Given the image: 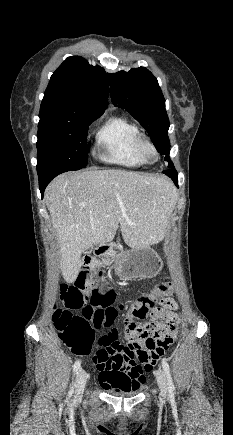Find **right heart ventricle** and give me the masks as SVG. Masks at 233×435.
Listing matches in <instances>:
<instances>
[{
    "label": "right heart ventricle",
    "mask_w": 233,
    "mask_h": 435,
    "mask_svg": "<svg viewBox=\"0 0 233 435\" xmlns=\"http://www.w3.org/2000/svg\"><path fill=\"white\" fill-rule=\"evenodd\" d=\"M103 149L102 160L125 167H142L146 164L139 147L140 132L129 120L115 116L109 118L97 133Z\"/></svg>",
    "instance_id": "right-heart-ventricle-1"
}]
</instances>
